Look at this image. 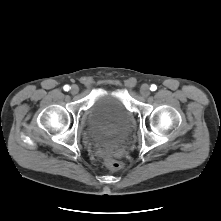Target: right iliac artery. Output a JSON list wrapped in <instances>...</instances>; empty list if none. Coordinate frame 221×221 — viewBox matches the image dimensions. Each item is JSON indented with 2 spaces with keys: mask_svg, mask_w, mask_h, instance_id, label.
I'll list each match as a JSON object with an SVG mask.
<instances>
[{
  "mask_svg": "<svg viewBox=\"0 0 221 221\" xmlns=\"http://www.w3.org/2000/svg\"><path fill=\"white\" fill-rule=\"evenodd\" d=\"M69 89H70V87H69L68 85H65V86H64V90H65V91H68Z\"/></svg>",
  "mask_w": 221,
  "mask_h": 221,
  "instance_id": "1",
  "label": "right iliac artery"
}]
</instances>
